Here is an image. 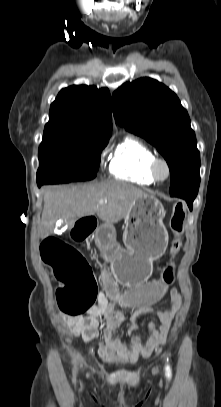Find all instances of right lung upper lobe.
Returning a JSON list of instances; mask_svg holds the SVG:
<instances>
[{
  "mask_svg": "<svg viewBox=\"0 0 221 407\" xmlns=\"http://www.w3.org/2000/svg\"><path fill=\"white\" fill-rule=\"evenodd\" d=\"M107 88L79 85L62 89L51 104L44 135L108 142L112 129Z\"/></svg>",
  "mask_w": 221,
  "mask_h": 407,
  "instance_id": "right-lung-upper-lobe-1",
  "label": "right lung upper lobe"
}]
</instances>
